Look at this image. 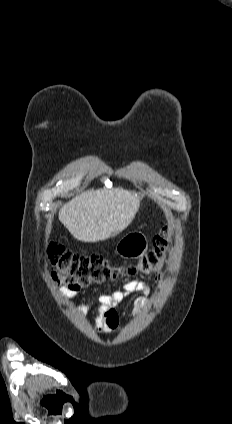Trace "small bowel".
Wrapping results in <instances>:
<instances>
[{"label":"small bowel","instance_id":"c3829d8e","mask_svg":"<svg viewBox=\"0 0 232 424\" xmlns=\"http://www.w3.org/2000/svg\"><path fill=\"white\" fill-rule=\"evenodd\" d=\"M158 282H163L164 277L159 275L157 277ZM150 285L146 280H131L127 282L123 289L113 290L109 292H103L95 298H88L82 302L79 307V313H85L95 303L98 304L95 324L97 329L102 332L114 331L118 326V315L116 307L122 302V300L130 294L140 293L141 295L134 300V311L136 313L142 312L148 309L150 303L148 295L150 294ZM78 293V289H71L64 287L61 289V296L67 300L74 297Z\"/></svg>","mask_w":232,"mask_h":424}]
</instances>
